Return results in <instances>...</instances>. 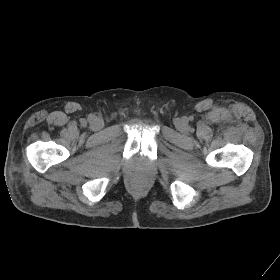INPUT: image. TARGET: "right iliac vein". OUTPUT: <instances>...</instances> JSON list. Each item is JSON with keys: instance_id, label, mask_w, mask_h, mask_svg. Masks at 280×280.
<instances>
[{"instance_id": "right-iliac-vein-1", "label": "right iliac vein", "mask_w": 280, "mask_h": 280, "mask_svg": "<svg viewBox=\"0 0 280 280\" xmlns=\"http://www.w3.org/2000/svg\"><path fill=\"white\" fill-rule=\"evenodd\" d=\"M103 126H104V122H103V120L100 119V118H95V119H93V121L91 122V128H92L93 130H100V129L103 128Z\"/></svg>"}]
</instances>
